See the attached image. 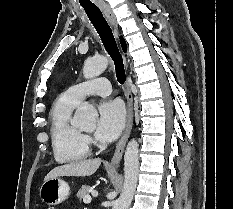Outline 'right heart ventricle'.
Here are the masks:
<instances>
[{"instance_id":"obj_1","label":"right heart ventricle","mask_w":233,"mask_h":209,"mask_svg":"<svg viewBox=\"0 0 233 209\" xmlns=\"http://www.w3.org/2000/svg\"><path fill=\"white\" fill-rule=\"evenodd\" d=\"M79 102L65 92L54 102L50 113V133L55 159L70 163L85 159L89 154L87 141L72 123L71 115Z\"/></svg>"}]
</instances>
